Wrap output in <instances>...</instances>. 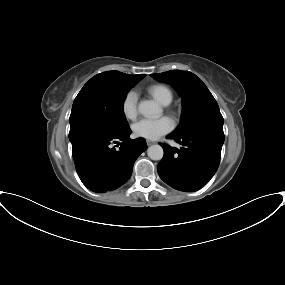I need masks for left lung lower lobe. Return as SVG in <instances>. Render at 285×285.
Returning a JSON list of instances; mask_svg holds the SVG:
<instances>
[{"label": "left lung lower lobe", "mask_w": 285, "mask_h": 285, "mask_svg": "<svg viewBox=\"0 0 285 285\" xmlns=\"http://www.w3.org/2000/svg\"><path fill=\"white\" fill-rule=\"evenodd\" d=\"M183 147L178 150L165 144L164 156L158 164L160 178L174 189L193 192L202 188L217 171L224 133L204 129L186 136L169 134Z\"/></svg>", "instance_id": "0a47b994"}]
</instances>
